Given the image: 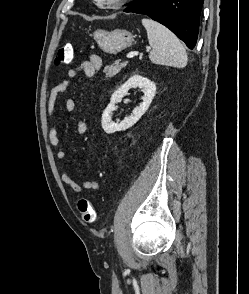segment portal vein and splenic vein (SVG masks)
Masks as SVG:
<instances>
[{
  "label": "portal vein and splenic vein",
  "mask_w": 249,
  "mask_h": 294,
  "mask_svg": "<svg viewBox=\"0 0 249 294\" xmlns=\"http://www.w3.org/2000/svg\"><path fill=\"white\" fill-rule=\"evenodd\" d=\"M136 55V53H134V52H130V53H128L127 54V58H133L134 56Z\"/></svg>",
  "instance_id": "portal-vein-and-splenic-vein-1"
}]
</instances>
